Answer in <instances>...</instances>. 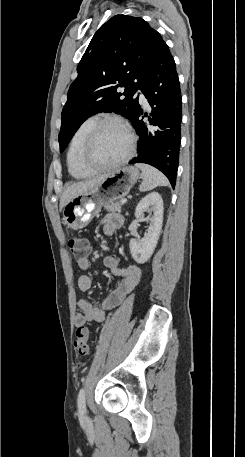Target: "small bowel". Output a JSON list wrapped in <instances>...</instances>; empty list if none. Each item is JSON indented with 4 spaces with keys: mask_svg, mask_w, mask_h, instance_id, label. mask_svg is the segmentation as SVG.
<instances>
[{
    "mask_svg": "<svg viewBox=\"0 0 245 457\" xmlns=\"http://www.w3.org/2000/svg\"><path fill=\"white\" fill-rule=\"evenodd\" d=\"M123 222V216L118 213H109L105 215L101 220L103 233L106 236H112L117 229L121 228ZM77 264L79 270L82 272L77 281L78 288L82 292H87L92 288L93 284L92 278L87 274L90 269V262L86 258L78 260ZM104 265L113 275L121 277L122 280L101 305H95L84 299L78 301L80 311L74 318L76 327L85 326L87 322H104L107 311L121 304L141 280L142 272L139 267L135 265L122 267L119 260L114 256H106L104 258Z\"/></svg>",
    "mask_w": 245,
    "mask_h": 457,
    "instance_id": "1",
    "label": "small bowel"
}]
</instances>
